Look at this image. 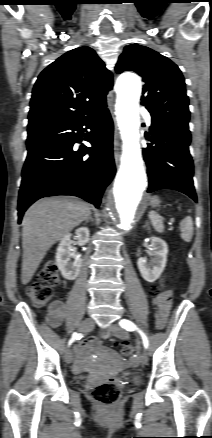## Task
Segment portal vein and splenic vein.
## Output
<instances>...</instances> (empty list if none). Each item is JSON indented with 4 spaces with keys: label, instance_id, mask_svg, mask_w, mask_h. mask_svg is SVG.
<instances>
[{
    "label": "portal vein and splenic vein",
    "instance_id": "portal-vein-and-splenic-vein-1",
    "mask_svg": "<svg viewBox=\"0 0 212 438\" xmlns=\"http://www.w3.org/2000/svg\"><path fill=\"white\" fill-rule=\"evenodd\" d=\"M173 222H174V218H171L168 222V225H170V226L173 225Z\"/></svg>",
    "mask_w": 212,
    "mask_h": 438
}]
</instances>
